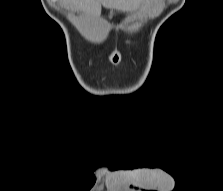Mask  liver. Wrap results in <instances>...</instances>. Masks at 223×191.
Wrapping results in <instances>:
<instances>
[{
    "instance_id": "obj_1",
    "label": "liver",
    "mask_w": 223,
    "mask_h": 191,
    "mask_svg": "<svg viewBox=\"0 0 223 191\" xmlns=\"http://www.w3.org/2000/svg\"><path fill=\"white\" fill-rule=\"evenodd\" d=\"M142 0H64L70 4L75 11L84 12L87 15L99 17L101 15V4L105 8L116 9L122 12L134 10Z\"/></svg>"
}]
</instances>
